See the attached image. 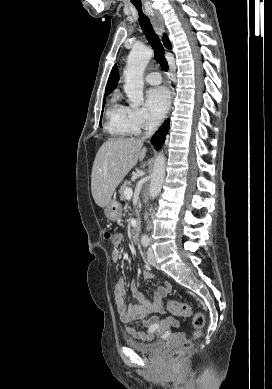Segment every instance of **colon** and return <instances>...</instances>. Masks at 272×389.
I'll list each match as a JSON object with an SVG mask.
<instances>
[{
    "label": "colon",
    "mask_w": 272,
    "mask_h": 389,
    "mask_svg": "<svg viewBox=\"0 0 272 389\" xmlns=\"http://www.w3.org/2000/svg\"><path fill=\"white\" fill-rule=\"evenodd\" d=\"M105 238L109 240L113 246L118 247L122 242V237L119 233L107 231L105 232ZM167 310L177 316H189L191 314V307L188 304L180 303L175 300H170L167 303ZM192 324L195 328L194 338L201 335V331L205 324V317L202 313L196 312L192 316ZM193 348V341H184L176 350L169 355V361L173 366H179L182 364Z\"/></svg>",
    "instance_id": "5ec220e1"
}]
</instances>
